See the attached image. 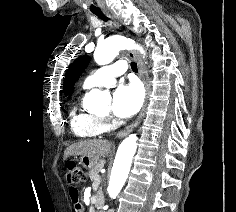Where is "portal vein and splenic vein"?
Returning a JSON list of instances; mask_svg holds the SVG:
<instances>
[{"mask_svg":"<svg viewBox=\"0 0 236 212\" xmlns=\"http://www.w3.org/2000/svg\"><path fill=\"white\" fill-rule=\"evenodd\" d=\"M96 182H100V177H98V178L96 179Z\"/></svg>","mask_w":236,"mask_h":212,"instance_id":"obj_1","label":"portal vein and splenic vein"}]
</instances>
